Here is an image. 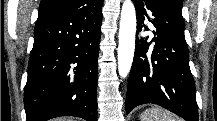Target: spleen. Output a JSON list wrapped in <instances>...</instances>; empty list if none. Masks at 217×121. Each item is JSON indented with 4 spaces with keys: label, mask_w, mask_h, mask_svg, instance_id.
I'll list each match as a JSON object with an SVG mask.
<instances>
[{
    "label": "spleen",
    "mask_w": 217,
    "mask_h": 121,
    "mask_svg": "<svg viewBox=\"0 0 217 121\" xmlns=\"http://www.w3.org/2000/svg\"><path fill=\"white\" fill-rule=\"evenodd\" d=\"M141 121H178V118L166 110L153 107L141 114Z\"/></svg>",
    "instance_id": "1"
}]
</instances>
